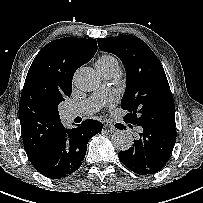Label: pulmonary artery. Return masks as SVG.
<instances>
[{
  "label": "pulmonary artery",
  "mask_w": 203,
  "mask_h": 203,
  "mask_svg": "<svg viewBox=\"0 0 203 203\" xmlns=\"http://www.w3.org/2000/svg\"><path fill=\"white\" fill-rule=\"evenodd\" d=\"M102 75L105 79V83L102 85V87L98 91L93 93V95L90 98L67 109L65 115L68 119H73L77 116L91 114L100 107L102 101L104 100L109 91V87L112 84V79L114 77V75L111 74H102Z\"/></svg>",
  "instance_id": "pulmonary-artery-1"
}]
</instances>
